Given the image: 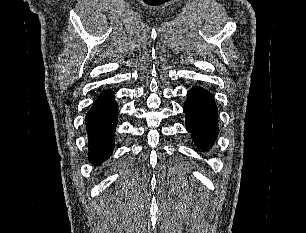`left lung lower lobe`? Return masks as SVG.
<instances>
[{"instance_id": "left-lung-lower-lobe-1", "label": "left lung lower lobe", "mask_w": 306, "mask_h": 233, "mask_svg": "<svg viewBox=\"0 0 306 233\" xmlns=\"http://www.w3.org/2000/svg\"><path fill=\"white\" fill-rule=\"evenodd\" d=\"M184 105L186 128L199 149H209L218 136V110L211 93L193 87Z\"/></svg>"}]
</instances>
